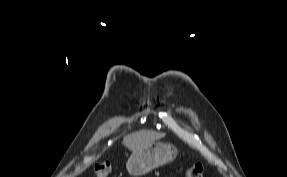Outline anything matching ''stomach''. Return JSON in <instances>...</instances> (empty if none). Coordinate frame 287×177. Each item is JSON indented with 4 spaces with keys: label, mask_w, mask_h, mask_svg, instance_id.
<instances>
[{
    "label": "stomach",
    "mask_w": 287,
    "mask_h": 177,
    "mask_svg": "<svg viewBox=\"0 0 287 177\" xmlns=\"http://www.w3.org/2000/svg\"><path fill=\"white\" fill-rule=\"evenodd\" d=\"M176 155L175 146L161 142L152 143L144 148L134 150L126 163V168L130 175L142 176L173 161Z\"/></svg>",
    "instance_id": "0dacf381"
}]
</instances>
